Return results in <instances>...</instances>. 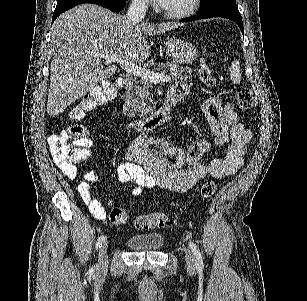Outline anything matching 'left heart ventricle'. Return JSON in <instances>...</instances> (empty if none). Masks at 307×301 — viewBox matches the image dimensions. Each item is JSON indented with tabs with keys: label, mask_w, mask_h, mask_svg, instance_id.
Masks as SVG:
<instances>
[{
	"label": "left heart ventricle",
	"mask_w": 307,
	"mask_h": 301,
	"mask_svg": "<svg viewBox=\"0 0 307 301\" xmlns=\"http://www.w3.org/2000/svg\"><path fill=\"white\" fill-rule=\"evenodd\" d=\"M190 2L191 0H169V5L178 9H184Z\"/></svg>",
	"instance_id": "left-heart-ventricle-1"
}]
</instances>
